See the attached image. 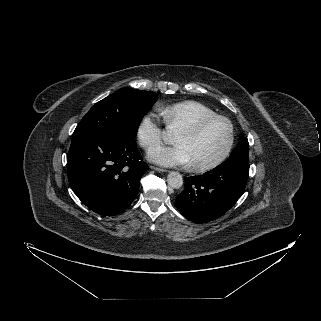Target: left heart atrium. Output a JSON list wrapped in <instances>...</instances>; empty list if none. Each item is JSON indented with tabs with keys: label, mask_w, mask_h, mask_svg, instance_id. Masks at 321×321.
I'll use <instances>...</instances> for the list:
<instances>
[{
	"label": "left heart atrium",
	"mask_w": 321,
	"mask_h": 321,
	"mask_svg": "<svg viewBox=\"0 0 321 321\" xmlns=\"http://www.w3.org/2000/svg\"><path fill=\"white\" fill-rule=\"evenodd\" d=\"M148 159L162 166H179L191 164L188 148L182 143L173 146L157 145L149 149Z\"/></svg>",
	"instance_id": "39dd6f15"
}]
</instances>
